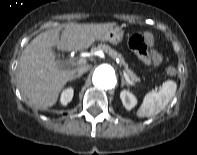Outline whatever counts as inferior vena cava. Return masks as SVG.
I'll list each match as a JSON object with an SVG mask.
<instances>
[{
  "instance_id": "1",
  "label": "inferior vena cava",
  "mask_w": 197,
  "mask_h": 155,
  "mask_svg": "<svg viewBox=\"0 0 197 155\" xmlns=\"http://www.w3.org/2000/svg\"><path fill=\"white\" fill-rule=\"evenodd\" d=\"M90 69L89 65H83L79 68L76 69V72L78 73V75H82L83 73L87 72Z\"/></svg>"
}]
</instances>
